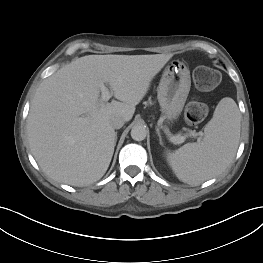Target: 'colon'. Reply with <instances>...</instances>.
<instances>
[{
	"label": "colon",
	"instance_id": "colon-1",
	"mask_svg": "<svg viewBox=\"0 0 263 263\" xmlns=\"http://www.w3.org/2000/svg\"><path fill=\"white\" fill-rule=\"evenodd\" d=\"M194 83L200 91H210L220 82V74L217 70L199 66L193 73ZM208 114L207 106L200 101H191L185 109V120L191 125L202 122Z\"/></svg>",
	"mask_w": 263,
	"mask_h": 263
}]
</instances>
